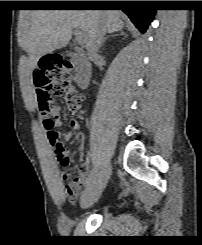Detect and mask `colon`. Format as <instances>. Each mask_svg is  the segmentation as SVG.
<instances>
[{
  "label": "colon",
  "instance_id": "1",
  "mask_svg": "<svg viewBox=\"0 0 202 245\" xmlns=\"http://www.w3.org/2000/svg\"><path fill=\"white\" fill-rule=\"evenodd\" d=\"M72 72V63L55 55L46 56L34 70L37 110L42 115L44 126L50 127L53 124V95L65 101L71 115L77 114L82 108V99L72 83ZM48 138L53 150L63 149L55 131L50 132Z\"/></svg>",
  "mask_w": 202,
  "mask_h": 245
}]
</instances>
